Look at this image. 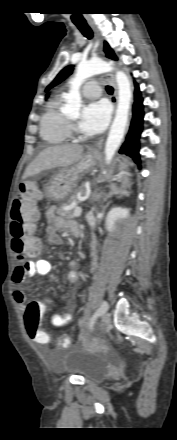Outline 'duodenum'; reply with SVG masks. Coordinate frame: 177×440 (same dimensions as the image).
<instances>
[{
	"label": "duodenum",
	"instance_id": "obj_1",
	"mask_svg": "<svg viewBox=\"0 0 177 440\" xmlns=\"http://www.w3.org/2000/svg\"><path fill=\"white\" fill-rule=\"evenodd\" d=\"M72 233L74 234V236L79 237L81 235L80 227L78 225L73 227L72 228Z\"/></svg>",
	"mask_w": 177,
	"mask_h": 440
}]
</instances>
